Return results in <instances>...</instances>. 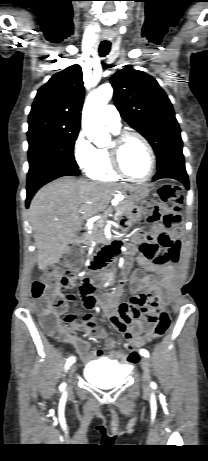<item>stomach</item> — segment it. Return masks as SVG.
I'll return each mask as SVG.
<instances>
[{"label": "stomach", "mask_w": 208, "mask_h": 461, "mask_svg": "<svg viewBox=\"0 0 208 461\" xmlns=\"http://www.w3.org/2000/svg\"><path fill=\"white\" fill-rule=\"evenodd\" d=\"M149 188L145 185H135L129 188L128 199L132 201H140L148 196Z\"/></svg>", "instance_id": "stomach-1"}]
</instances>
